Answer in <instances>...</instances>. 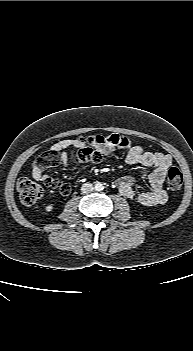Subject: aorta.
Here are the masks:
<instances>
[{
	"instance_id": "762f6f07",
	"label": "aorta",
	"mask_w": 193,
	"mask_h": 351,
	"mask_svg": "<svg viewBox=\"0 0 193 351\" xmlns=\"http://www.w3.org/2000/svg\"><path fill=\"white\" fill-rule=\"evenodd\" d=\"M104 189L103 184L101 182H97L95 184V190L96 191H102Z\"/></svg>"
}]
</instances>
